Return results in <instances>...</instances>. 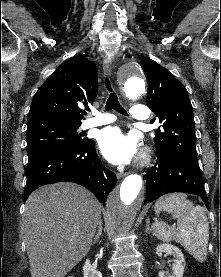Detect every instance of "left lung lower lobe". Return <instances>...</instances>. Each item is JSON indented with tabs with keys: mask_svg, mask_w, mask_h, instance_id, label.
Instances as JSON below:
<instances>
[{
	"mask_svg": "<svg viewBox=\"0 0 221 277\" xmlns=\"http://www.w3.org/2000/svg\"><path fill=\"white\" fill-rule=\"evenodd\" d=\"M145 203L172 192H185L200 196L209 209L200 168L173 156H157L155 166L146 172Z\"/></svg>",
	"mask_w": 221,
	"mask_h": 277,
	"instance_id": "1",
	"label": "left lung lower lobe"
}]
</instances>
